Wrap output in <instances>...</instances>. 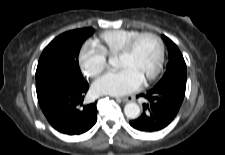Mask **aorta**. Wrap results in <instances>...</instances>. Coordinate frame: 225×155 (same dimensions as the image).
<instances>
[{
  "label": "aorta",
  "instance_id": "762f6f07",
  "mask_svg": "<svg viewBox=\"0 0 225 155\" xmlns=\"http://www.w3.org/2000/svg\"><path fill=\"white\" fill-rule=\"evenodd\" d=\"M115 58H110L109 63L115 66ZM125 115L130 119H136L140 116V107L134 102L127 103L124 107Z\"/></svg>",
  "mask_w": 225,
  "mask_h": 155
}]
</instances>
